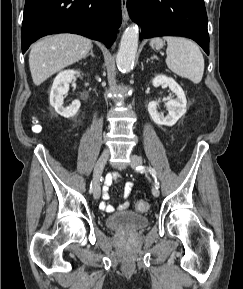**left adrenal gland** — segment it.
<instances>
[{
	"label": "left adrenal gland",
	"mask_w": 243,
	"mask_h": 289,
	"mask_svg": "<svg viewBox=\"0 0 243 289\" xmlns=\"http://www.w3.org/2000/svg\"><path fill=\"white\" fill-rule=\"evenodd\" d=\"M151 59L153 60V59H157V56L156 55H153L152 57H151Z\"/></svg>",
	"instance_id": "a2214340"
}]
</instances>
